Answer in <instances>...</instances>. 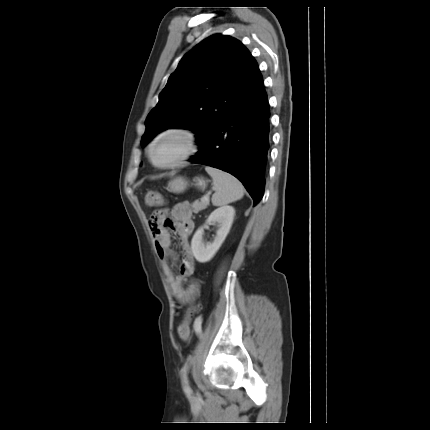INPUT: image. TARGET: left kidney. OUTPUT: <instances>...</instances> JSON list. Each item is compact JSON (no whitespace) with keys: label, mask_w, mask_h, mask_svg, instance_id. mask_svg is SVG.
Segmentation results:
<instances>
[{"label":"left kidney","mask_w":430,"mask_h":430,"mask_svg":"<svg viewBox=\"0 0 430 430\" xmlns=\"http://www.w3.org/2000/svg\"><path fill=\"white\" fill-rule=\"evenodd\" d=\"M234 215L235 210L232 206L217 208L210 214L206 223L216 225L218 228L212 242L204 240L203 227L198 228L191 241L192 252L198 262L205 263L214 257L230 231Z\"/></svg>","instance_id":"left-kidney-1"}]
</instances>
